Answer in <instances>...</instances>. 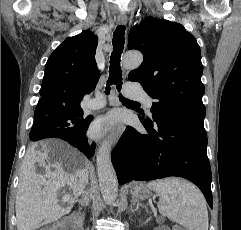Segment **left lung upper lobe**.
Returning <instances> with one entry per match:
<instances>
[{
    "label": "left lung upper lobe",
    "mask_w": 241,
    "mask_h": 230,
    "mask_svg": "<svg viewBox=\"0 0 241 230\" xmlns=\"http://www.w3.org/2000/svg\"><path fill=\"white\" fill-rule=\"evenodd\" d=\"M128 49H137L144 56L128 78L140 82L156 100L151 109L153 118L155 112L167 110L204 120L203 65L192 34L179 23L148 17L130 30Z\"/></svg>",
    "instance_id": "5c2ea615"
}]
</instances>
